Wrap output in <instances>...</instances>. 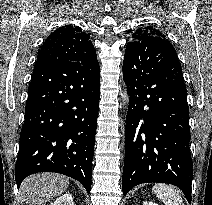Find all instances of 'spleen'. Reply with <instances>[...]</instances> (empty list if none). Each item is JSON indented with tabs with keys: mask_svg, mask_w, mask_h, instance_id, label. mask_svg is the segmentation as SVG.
<instances>
[{
	"mask_svg": "<svg viewBox=\"0 0 212 205\" xmlns=\"http://www.w3.org/2000/svg\"><path fill=\"white\" fill-rule=\"evenodd\" d=\"M152 190L165 205H184L180 192L173 186L155 184Z\"/></svg>",
	"mask_w": 212,
	"mask_h": 205,
	"instance_id": "3e777b00",
	"label": "spleen"
}]
</instances>
